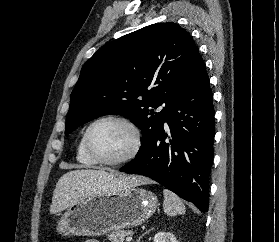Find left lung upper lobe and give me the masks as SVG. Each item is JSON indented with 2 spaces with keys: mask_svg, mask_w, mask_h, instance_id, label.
Listing matches in <instances>:
<instances>
[{
  "mask_svg": "<svg viewBox=\"0 0 279 242\" xmlns=\"http://www.w3.org/2000/svg\"><path fill=\"white\" fill-rule=\"evenodd\" d=\"M198 54L190 34L172 22L144 27L104 45L81 69L71 93L65 134L99 116L122 115L142 131L136 156L145 153ZM162 103L164 109L154 112Z\"/></svg>",
  "mask_w": 279,
  "mask_h": 242,
  "instance_id": "5c2ea615",
  "label": "left lung upper lobe"
}]
</instances>
